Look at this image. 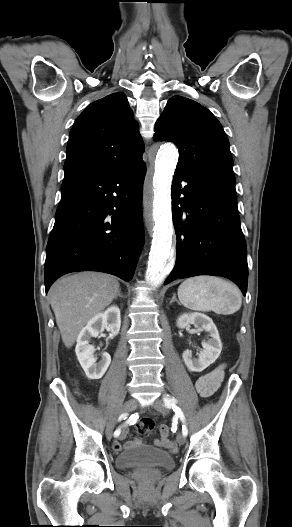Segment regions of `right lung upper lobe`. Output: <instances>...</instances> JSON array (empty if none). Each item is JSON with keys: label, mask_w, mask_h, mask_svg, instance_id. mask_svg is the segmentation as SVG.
Masks as SVG:
<instances>
[{"label": "right lung upper lobe", "mask_w": 292, "mask_h": 527, "mask_svg": "<svg viewBox=\"0 0 292 527\" xmlns=\"http://www.w3.org/2000/svg\"><path fill=\"white\" fill-rule=\"evenodd\" d=\"M144 149L126 95L112 93L88 105L75 120L64 173H108L138 162Z\"/></svg>", "instance_id": "right-lung-upper-lobe-1"}]
</instances>
